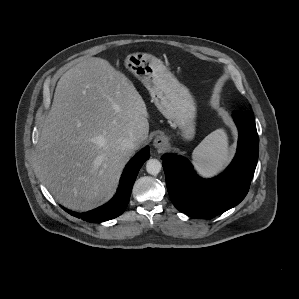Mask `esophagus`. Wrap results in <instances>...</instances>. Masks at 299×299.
Instances as JSON below:
<instances>
[{
	"mask_svg": "<svg viewBox=\"0 0 299 299\" xmlns=\"http://www.w3.org/2000/svg\"><path fill=\"white\" fill-rule=\"evenodd\" d=\"M167 145V139L164 136H157L153 141V146L157 149H164Z\"/></svg>",
	"mask_w": 299,
	"mask_h": 299,
	"instance_id": "1",
	"label": "esophagus"
}]
</instances>
